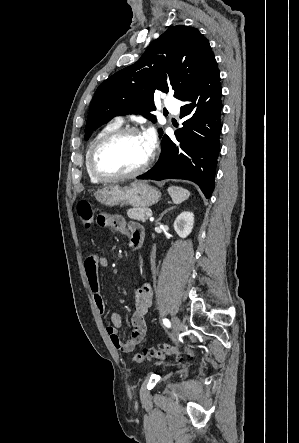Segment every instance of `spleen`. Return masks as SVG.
I'll return each mask as SVG.
<instances>
[{
  "mask_svg": "<svg viewBox=\"0 0 299 443\" xmlns=\"http://www.w3.org/2000/svg\"><path fill=\"white\" fill-rule=\"evenodd\" d=\"M168 193L175 204L182 203L190 196V192L188 190L178 186H170L168 188Z\"/></svg>",
  "mask_w": 299,
  "mask_h": 443,
  "instance_id": "3e777b00",
  "label": "spleen"
}]
</instances>
